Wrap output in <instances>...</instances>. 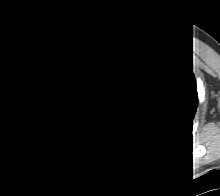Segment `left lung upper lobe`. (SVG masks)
Returning <instances> with one entry per match:
<instances>
[{"mask_svg":"<svg viewBox=\"0 0 220 196\" xmlns=\"http://www.w3.org/2000/svg\"><path fill=\"white\" fill-rule=\"evenodd\" d=\"M137 58L147 86L144 132L170 147L192 124L196 83L188 65L175 53L141 46Z\"/></svg>","mask_w":220,"mask_h":196,"instance_id":"1","label":"left lung upper lobe"}]
</instances>
